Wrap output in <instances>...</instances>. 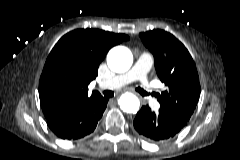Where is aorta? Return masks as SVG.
<instances>
[{
  "label": "aorta",
  "mask_w": 240,
  "mask_h": 160,
  "mask_svg": "<svg viewBox=\"0 0 240 160\" xmlns=\"http://www.w3.org/2000/svg\"><path fill=\"white\" fill-rule=\"evenodd\" d=\"M133 63L131 51L124 46L112 48L107 55L109 68L116 73L128 71ZM121 110L126 113H136L139 110L140 102L137 96L132 93H124L119 99Z\"/></svg>",
  "instance_id": "aorta-1"
}]
</instances>
